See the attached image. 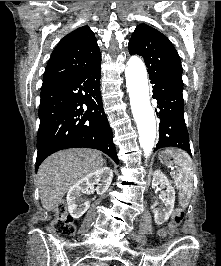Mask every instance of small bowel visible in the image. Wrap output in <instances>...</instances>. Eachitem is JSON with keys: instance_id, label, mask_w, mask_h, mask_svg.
I'll return each mask as SVG.
<instances>
[{"instance_id": "1", "label": "small bowel", "mask_w": 221, "mask_h": 266, "mask_svg": "<svg viewBox=\"0 0 221 266\" xmlns=\"http://www.w3.org/2000/svg\"><path fill=\"white\" fill-rule=\"evenodd\" d=\"M93 266H108V264L104 262H98V263H95Z\"/></svg>"}]
</instances>
